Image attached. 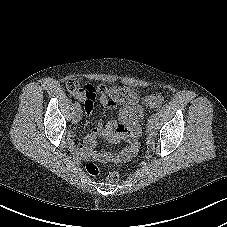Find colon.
<instances>
[{
	"label": "colon",
	"mask_w": 227,
	"mask_h": 227,
	"mask_svg": "<svg viewBox=\"0 0 227 227\" xmlns=\"http://www.w3.org/2000/svg\"><path fill=\"white\" fill-rule=\"evenodd\" d=\"M66 88L72 94H75L82 89L76 79H70L67 81ZM86 90L88 91L89 96L92 98L95 97L96 94H105L113 102L122 105L129 103L133 95V91L130 89L122 87H107L105 85H91L86 87ZM144 103L147 108H158L163 104V97L158 93H153L145 97ZM86 171L88 174L96 176L99 174L100 170L96 164L88 163L86 165ZM106 179L110 183H116L119 181L120 175L118 172L113 171L107 175Z\"/></svg>",
	"instance_id": "1"
}]
</instances>
